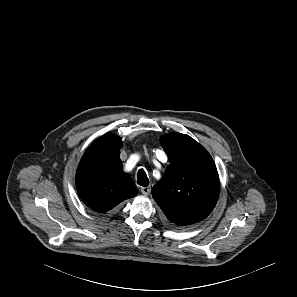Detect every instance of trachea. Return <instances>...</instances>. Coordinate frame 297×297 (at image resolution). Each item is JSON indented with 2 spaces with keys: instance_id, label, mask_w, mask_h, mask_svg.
<instances>
[{
  "instance_id": "1",
  "label": "trachea",
  "mask_w": 297,
  "mask_h": 297,
  "mask_svg": "<svg viewBox=\"0 0 297 297\" xmlns=\"http://www.w3.org/2000/svg\"><path fill=\"white\" fill-rule=\"evenodd\" d=\"M137 183L144 187L149 184V179L146 175V172L143 169H139V171H138Z\"/></svg>"
}]
</instances>
